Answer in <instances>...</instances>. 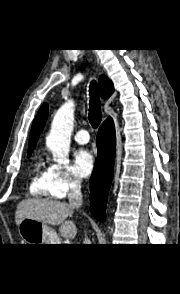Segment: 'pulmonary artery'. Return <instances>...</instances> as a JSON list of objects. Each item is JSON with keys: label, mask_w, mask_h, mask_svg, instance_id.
Returning <instances> with one entry per match:
<instances>
[{"label": "pulmonary artery", "mask_w": 180, "mask_h": 294, "mask_svg": "<svg viewBox=\"0 0 180 294\" xmlns=\"http://www.w3.org/2000/svg\"><path fill=\"white\" fill-rule=\"evenodd\" d=\"M74 139L79 144H86L89 142L90 137L88 131L79 130L78 132H76Z\"/></svg>", "instance_id": "e3ab8cb5"}]
</instances>
